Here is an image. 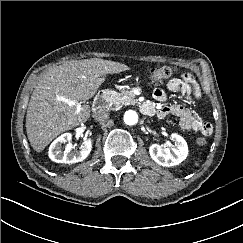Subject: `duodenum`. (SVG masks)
Here are the masks:
<instances>
[{"label": "duodenum", "instance_id": "1", "mask_svg": "<svg viewBox=\"0 0 243 243\" xmlns=\"http://www.w3.org/2000/svg\"><path fill=\"white\" fill-rule=\"evenodd\" d=\"M109 96V91L108 90H102L101 92H99L96 97L93 100V104H92V108L93 110L99 111L102 110L103 108L106 107L107 105V99ZM142 108L144 110H148V106L147 105H143Z\"/></svg>", "mask_w": 243, "mask_h": 243}]
</instances>
